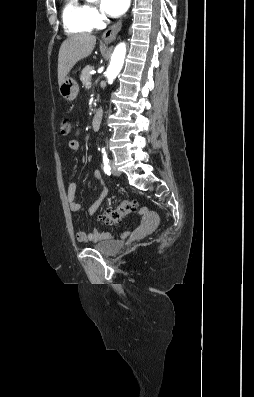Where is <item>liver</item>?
I'll use <instances>...</instances> for the list:
<instances>
[{
  "label": "liver",
  "instance_id": "liver-1",
  "mask_svg": "<svg viewBox=\"0 0 254 397\" xmlns=\"http://www.w3.org/2000/svg\"><path fill=\"white\" fill-rule=\"evenodd\" d=\"M95 44L96 37L90 34L73 35L63 41L58 55L59 85L78 61L91 55Z\"/></svg>",
  "mask_w": 254,
  "mask_h": 397
}]
</instances>
